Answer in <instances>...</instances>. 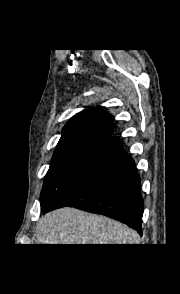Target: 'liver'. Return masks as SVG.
I'll return each mask as SVG.
<instances>
[{
    "label": "liver",
    "mask_w": 180,
    "mask_h": 294,
    "mask_svg": "<svg viewBox=\"0 0 180 294\" xmlns=\"http://www.w3.org/2000/svg\"><path fill=\"white\" fill-rule=\"evenodd\" d=\"M133 229L74 208L47 213L37 226L38 244H138Z\"/></svg>",
    "instance_id": "1"
}]
</instances>
